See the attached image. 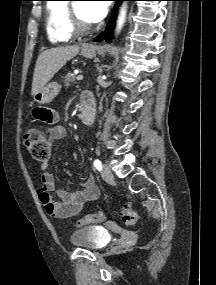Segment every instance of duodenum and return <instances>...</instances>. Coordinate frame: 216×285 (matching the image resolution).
Returning a JSON list of instances; mask_svg holds the SVG:
<instances>
[{
	"label": "duodenum",
	"instance_id": "obj_1",
	"mask_svg": "<svg viewBox=\"0 0 216 285\" xmlns=\"http://www.w3.org/2000/svg\"><path fill=\"white\" fill-rule=\"evenodd\" d=\"M80 118L84 124H91L95 118V107L92 102L85 101L80 110Z\"/></svg>",
	"mask_w": 216,
	"mask_h": 285
}]
</instances>
